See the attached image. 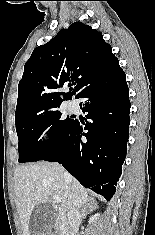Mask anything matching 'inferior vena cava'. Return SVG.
I'll list each match as a JSON object with an SVG mask.
<instances>
[{"instance_id": "1", "label": "inferior vena cava", "mask_w": 155, "mask_h": 235, "mask_svg": "<svg viewBox=\"0 0 155 235\" xmlns=\"http://www.w3.org/2000/svg\"><path fill=\"white\" fill-rule=\"evenodd\" d=\"M68 227L69 234L67 235H77L79 224L81 222V214L79 213V209L76 207H71L68 213Z\"/></svg>"}]
</instances>
